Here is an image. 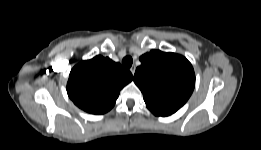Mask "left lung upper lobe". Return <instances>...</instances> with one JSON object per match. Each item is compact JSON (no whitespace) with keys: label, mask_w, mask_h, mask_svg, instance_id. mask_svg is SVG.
<instances>
[{"label":"left lung upper lobe","mask_w":261,"mask_h":150,"mask_svg":"<svg viewBox=\"0 0 261 150\" xmlns=\"http://www.w3.org/2000/svg\"><path fill=\"white\" fill-rule=\"evenodd\" d=\"M134 82L143 93L147 108L156 116L175 113L191 96L195 74L183 56L152 50L140 57Z\"/></svg>","instance_id":"1"}]
</instances>
